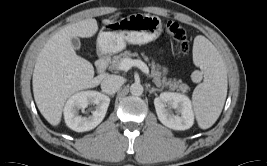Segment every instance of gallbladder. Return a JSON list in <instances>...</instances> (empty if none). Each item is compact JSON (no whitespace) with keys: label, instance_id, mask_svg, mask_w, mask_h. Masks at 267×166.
<instances>
[{"label":"gallbladder","instance_id":"obj_1","mask_svg":"<svg viewBox=\"0 0 267 166\" xmlns=\"http://www.w3.org/2000/svg\"><path fill=\"white\" fill-rule=\"evenodd\" d=\"M71 44L75 50H79L81 47V42L77 37L71 38Z\"/></svg>","mask_w":267,"mask_h":166}]
</instances>
